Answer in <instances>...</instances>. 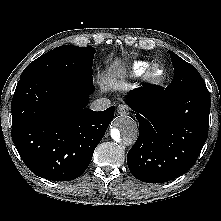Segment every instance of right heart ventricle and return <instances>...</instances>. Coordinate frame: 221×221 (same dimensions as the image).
<instances>
[{"label":"right heart ventricle","instance_id":"1","mask_svg":"<svg viewBox=\"0 0 221 221\" xmlns=\"http://www.w3.org/2000/svg\"><path fill=\"white\" fill-rule=\"evenodd\" d=\"M152 65L149 61H134L129 66V73L133 77H140L144 75V73L147 71V69Z\"/></svg>","mask_w":221,"mask_h":221}]
</instances>
